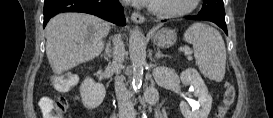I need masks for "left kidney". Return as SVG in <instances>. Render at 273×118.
Wrapping results in <instances>:
<instances>
[{"label":"left kidney","mask_w":273,"mask_h":118,"mask_svg":"<svg viewBox=\"0 0 273 118\" xmlns=\"http://www.w3.org/2000/svg\"><path fill=\"white\" fill-rule=\"evenodd\" d=\"M183 84L190 85L194 89V96L198 98V107L190 110L184 101L180 103V110L184 118H208L212 107V97L197 70L188 68L180 74Z\"/></svg>","instance_id":"obj_1"}]
</instances>
